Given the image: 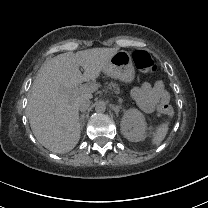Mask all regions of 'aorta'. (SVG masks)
Listing matches in <instances>:
<instances>
[{"mask_svg": "<svg viewBox=\"0 0 208 208\" xmlns=\"http://www.w3.org/2000/svg\"><path fill=\"white\" fill-rule=\"evenodd\" d=\"M95 112L98 114H102L105 112V105L104 103H97L95 106Z\"/></svg>", "mask_w": 208, "mask_h": 208, "instance_id": "aorta-1", "label": "aorta"}]
</instances>
